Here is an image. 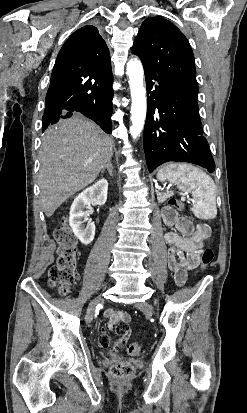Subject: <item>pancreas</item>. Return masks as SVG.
Returning a JSON list of instances; mask_svg holds the SVG:
<instances>
[{
  "mask_svg": "<svg viewBox=\"0 0 247 413\" xmlns=\"http://www.w3.org/2000/svg\"><path fill=\"white\" fill-rule=\"evenodd\" d=\"M173 192H157L158 202H164L167 198L172 196Z\"/></svg>",
  "mask_w": 247,
  "mask_h": 413,
  "instance_id": "1",
  "label": "pancreas"
}]
</instances>
